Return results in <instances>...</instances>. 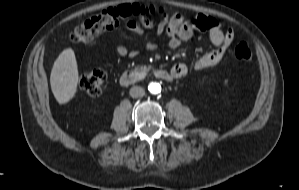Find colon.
<instances>
[{
    "instance_id": "1",
    "label": "colon",
    "mask_w": 299,
    "mask_h": 190,
    "mask_svg": "<svg viewBox=\"0 0 299 190\" xmlns=\"http://www.w3.org/2000/svg\"><path fill=\"white\" fill-rule=\"evenodd\" d=\"M128 11H121L115 8H107L99 14L81 23L75 29V37L80 41H87L95 38L100 33L109 30L121 17H124ZM199 27L205 30L204 18L198 21ZM105 73L95 71L85 75L80 85L90 95H98L105 81Z\"/></svg>"
}]
</instances>
